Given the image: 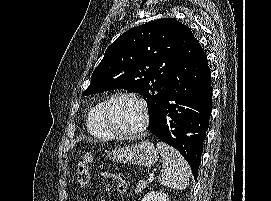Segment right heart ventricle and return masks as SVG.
Instances as JSON below:
<instances>
[{"instance_id":"right-heart-ventricle-1","label":"right heart ventricle","mask_w":271,"mask_h":201,"mask_svg":"<svg viewBox=\"0 0 271 201\" xmlns=\"http://www.w3.org/2000/svg\"><path fill=\"white\" fill-rule=\"evenodd\" d=\"M103 104L104 100H101L89 110L87 115V129L92 136L107 139L115 135L103 123L101 116Z\"/></svg>"}]
</instances>
